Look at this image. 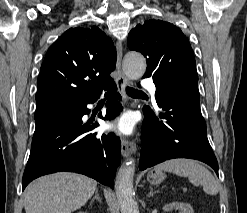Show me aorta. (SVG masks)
Segmentation results:
<instances>
[{"instance_id":"1","label":"aorta","mask_w":247,"mask_h":213,"mask_svg":"<svg viewBox=\"0 0 247 213\" xmlns=\"http://www.w3.org/2000/svg\"><path fill=\"white\" fill-rule=\"evenodd\" d=\"M123 71L130 79L141 78L146 71V61L138 52H128L124 57ZM135 161L131 159L123 165L116 176L115 191L120 204L121 213H139L133 198V177Z\"/></svg>"}]
</instances>
